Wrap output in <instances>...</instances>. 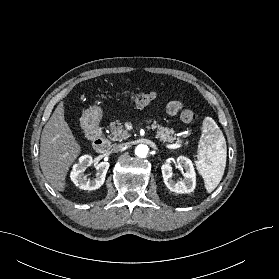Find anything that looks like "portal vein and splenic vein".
I'll return each instance as SVG.
<instances>
[{
  "instance_id": "1",
  "label": "portal vein and splenic vein",
  "mask_w": 279,
  "mask_h": 279,
  "mask_svg": "<svg viewBox=\"0 0 279 279\" xmlns=\"http://www.w3.org/2000/svg\"><path fill=\"white\" fill-rule=\"evenodd\" d=\"M168 149H177V148H180L181 147V144H170V145H167L166 146Z\"/></svg>"
}]
</instances>
